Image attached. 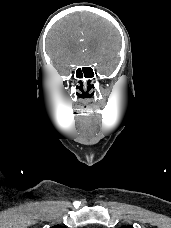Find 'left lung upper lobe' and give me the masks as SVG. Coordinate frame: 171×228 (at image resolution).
Listing matches in <instances>:
<instances>
[{"instance_id": "left-lung-upper-lobe-1", "label": "left lung upper lobe", "mask_w": 171, "mask_h": 228, "mask_svg": "<svg viewBox=\"0 0 171 228\" xmlns=\"http://www.w3.org/2000/svg\"><path fill=\"white\" fill-rule=\"evenodd\" d=\"M123 228H133V227L128 226V227H123Z\"/></svg>"}]
</instances>
